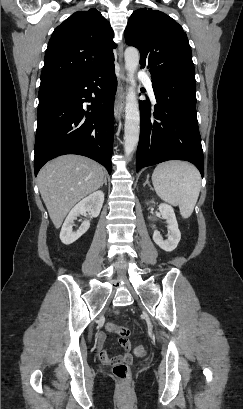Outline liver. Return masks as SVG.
<instances>
[{"label": "liver", "instance_id": "6515ba94", "mask_svg": "<svg viewBox=\"0 0 243 409\" xmlns=\"http://www.w3.org/2000/svg\"><path fill=\"white\" fill-rule=\"evenodd\" d=\"M104 175L100 164L79 155L60 156L42 167L38 186L55 228L76 203L100 188Z\"/></svg>", "mask_w": 243, "mask_h": 409}]
</instances>
